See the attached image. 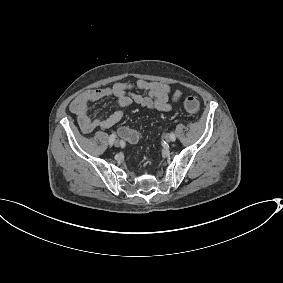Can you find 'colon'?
<instances>
[{"mask_svg":"<svg viewBox=\"0 0 283 283\" xmlns=\"http://www.w3.org/2000/svg\"><path fill=\"white\" fill-rule=\"evenodd\" d=\"M183 106L184 109L192 115H196L200 111V103L195 97H187L183 102ZM119 133L124 139L128 141L136 142L140 137L137 131L131 130L126 127L120 128Z\"/></svg>","mask_w":283,"mask_h":283,"instance_id":"colon-1","label":"colon"}]
</instances>
